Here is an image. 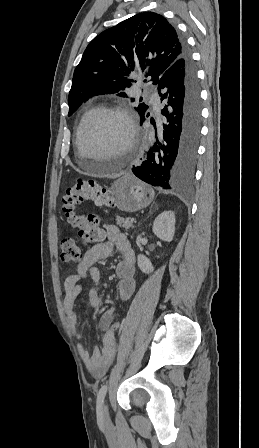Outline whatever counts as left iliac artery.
Wrapping results in <instances>:
<instances>
[{
  "label": "left iliac artery",
  "mask_w": 259,
  "mask_h": 448,
  "mask_svg": "<svg viewBox=\"0 0 259 448\" xmlns=\"http://www.w3.org/2000/svg\"><path fill=\"white\" fill-rule=\"evenodd\" d=\"M107 384L101 386L98 395H97V408L101 409L103 405V401L107 392Z\"/></svg>",
  "instance_id": "left-iliac-artery-1"
}]
</instances>
